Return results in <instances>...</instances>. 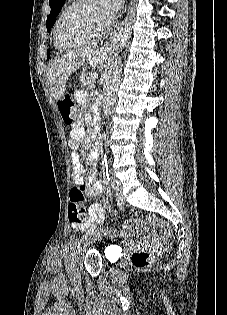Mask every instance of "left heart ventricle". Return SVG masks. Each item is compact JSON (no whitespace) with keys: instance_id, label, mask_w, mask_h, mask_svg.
Instances as JSON below:
<instances>
[{"instance_id":"1","label":"left heart ventricle","mask_w":227,"mask_h":315,"mask_svg":"<svg viewBox=\"0 0 227 315\" xmlns=\"http://www.w3.org/2000/svg\"><path fill=\"white\" fill-rule=\"evenodd\" d=\"M105 26L97 0H89L62 23L60 38L64 43H76L96 34Z\"/></svg>"}]
</instances>
